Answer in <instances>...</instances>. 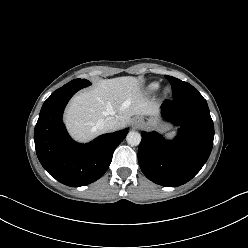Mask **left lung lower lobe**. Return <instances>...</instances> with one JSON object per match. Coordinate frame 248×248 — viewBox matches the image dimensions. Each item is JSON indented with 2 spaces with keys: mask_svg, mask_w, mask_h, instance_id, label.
<instances>
[{
  "mask_svg": "<svg viewBox=\"0 0 248 248\" xmlns=\"http://www.w3.org/2000/svg\"><path fill=\"white\" fill-rule=\"evenodd\" d=\"M162 116L180 126L173 141L156 132H142L138 161L145 176L162 186L191 180L206 163L213 146L214 125L203 96L166 101Z\"/></svg>",
  "mask_w": 248,
  "mask_h": 248,
  "instance_id": "0a47b994",
  "label": "left lung lower lobe"
}]
</instances>
